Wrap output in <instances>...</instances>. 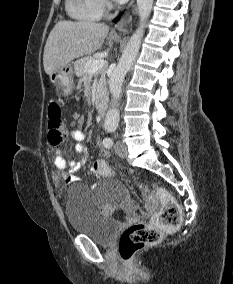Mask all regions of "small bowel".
Listing matches in <instances>:
<instances>
[{"mask_svg":"<svg viewBox=\"0 0 233 284\" xmlns=\"http://www.w3.org/2000/svg\"><path fill=\"white\" fill-rule=\"evenodd\" d=\"M70 135L76 141V153L85 157L88 153V148L84 143L85 134L80 130H72ZM85 163V158L80 161L68 160L60 150H57L54 157V166L58 170L57 180H63L66 183L77 180L76 173L85 165ZM89 173L91 175H99L92 167L90 168Z\"/></svg>","mask_w":233,"mask_h":284,"instance_id":"obj_1","label":"small bowel"}]
</instances>
